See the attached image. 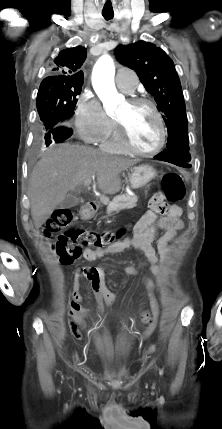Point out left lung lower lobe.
<instances>
[{"instance_id":"obj_1","label":"left lung lower lobe","mask_w":222,"mask_h":429,"mask_svg":"<svg viewBox=\"0 0 222 429\" xmlns=\"http://www.w3.org/2000/svg\"><path fill=\"white\" fill-rule=\"evenodd\" d=\"M155 159L169 162L180 167L190 168L191 155L189 149L177 146L166 149L154 157Z\"/></svg>"}]
</instances>
